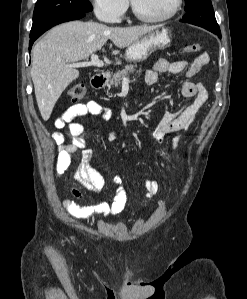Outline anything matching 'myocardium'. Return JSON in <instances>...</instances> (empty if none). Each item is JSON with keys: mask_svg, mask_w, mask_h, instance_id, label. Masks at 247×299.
I'll return each instance as SVG.
<instances>
[{"mask_svg": "<svg viewBox=\"0 0 247 299\" xmlns=\"http://www.w3.org/2000/svg\"><path fill=\"white\" fill-rule=\"evenodd\" d=\"M182 1L183 0H174L173 6L168 13L161 15V16H153V17L147 16V15H144L143 13H141L139 11V9L137 8L134 0H130V4H131V9H132L133 14L139 20L148 22V23H160V22L167 21V20L171 19L172 17H174L177 14V12L179 11V9L181 8Z\"/></svg>", "mask_w": 247, "mask_h": 299, "instance_id": "myocardium-1", "label": "myocardium"}]
</instances>
